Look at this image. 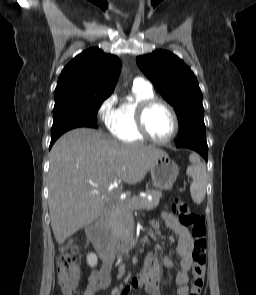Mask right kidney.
Listing matches in <instances>:
<instances>
[{"label":"right kidney","mask_w":256,"mask_h":295,"mask_svg":"<svg viewBox=\"0 0 256 295\" xmlns=\"http://www.w3.org/2000/svg\"><path fill=\"white\" fill-rule=\"evenodd\" d=\"M87 263L90 267H95L98 263L97 255L95 253L88 254Z\"/></svg>","instance_id":"right-kidney-1"}]
</instances>
